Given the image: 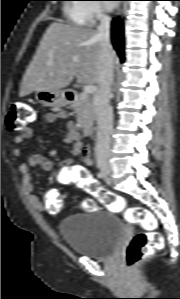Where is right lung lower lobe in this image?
I'll return each instance as SVG.
<instances>
[{
  "instance_id": "1",
  "label": "right lung lower lobe",
  "mask_w": 180,
  "mask_h": 299,
  "mask_svg": "<svg viewBox=\"0 0 180 299\" xmlns=\"http://www.w3.org/2000/svg\"><path fill=\"white\" fill-rule=\"evenodd\" d=\"M112 44L121 62H124L123 23L119 18H114L112 21Z\"/></svg>"
}]
</instances>
